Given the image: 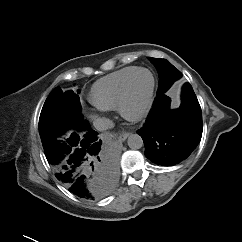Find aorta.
Here are the masks:
<instances>
[{
    "label": "aorta",
    "instance_id": "1",
    "mask_svg": "<svg viewBox=\"0 0 242 242\" xmlns=\"http://www.w3.org/2000/svg\"><path fill=\"white\" fill-rule=\"evenodd\" d=\"M127 144L129 148L137 150L143 147L142 137L138 134H130L127 139Z\"/></svg>",
    "mask_w": 242,
    "mask_h": 242
}]
</instances>
